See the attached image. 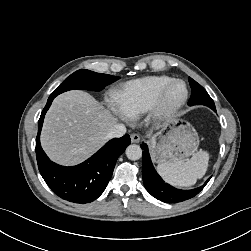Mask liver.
<instances>
[{
  "mask_svg": "<svg viewBox=\"0 0 251 251\" xmlns=\"http://www.w3.org/2000/svg\"><path fill=\"white\" fill-rule=\"evenodd\" d=\"M118 119L85 91L57 96L48 110L41 144L53 161L62 165L83 162L107 141Z\"/></svg>",
  "mask_w": 251,
  "mask_h": 251,
  "instance_id": "1",
  "label": "liver"
}]
</instances>
